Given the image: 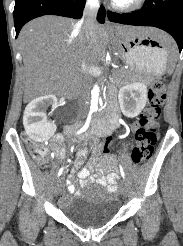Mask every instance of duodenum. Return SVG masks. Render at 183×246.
Segmentation results:
<instances>
[{
    "instance_id": "obj_1",
    "label": "duodenum",
    "mask_w": 183,
    "mask_h": 246,
    "mask_svg": "<svg viewBox=\"0 0 183 246\" xmlns=\"http://www.w3.org/2000/svg\"><path fill=\"white\" fill-rule=\"evenodd\" d=\"M109 98L112 99L113 98V92L112 90L109 91ZM72 129L69 128L68 132H71ZM79 141L81 144H84L85 141L88 142L89 144H93V151H100V144H99V139H89L88 136H84L83 133L79 134ZM89 139V140H88Z\"/></svg>"
}]
</instances>
